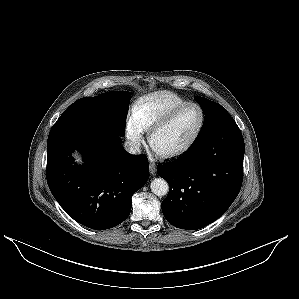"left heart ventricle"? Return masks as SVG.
I'll return each mask as SVG.
<instances>
[{
    "label": "left heart ventricle",
    "mask_w": 299,
    "mask_h": 299,
    "mask_svg": "<svg viewBox=\"0 0 299 299\" xmlns=\"http://www.w3.org/2000/svg\"><path fill=\"white\" fill-rule=\"evenodd\" d=\"M201 119L197 107L183 111L169 126L158 131L152 140V147L159 153H167L184 146L194 135Z\"/></svg>",
    "instance_id": "b2bd125f"
}]
</instances>
